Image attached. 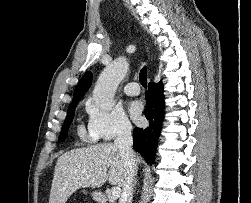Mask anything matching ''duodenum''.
Masks as SVG:
<instances>
[{
	"instance_id": "1",
	"label": "duodenum",
	"mask_w": 251,
	"mask_h": 203,
	"mask_svg": "<svg viewBox=\"0 0 251 203\" xmlns=\"http://www.w3.org/2000/svg\"><path fill=\"white\" fill-rule=\"evenodd\" d=\"M96 198L100 203H105L106 202V198H105V195L103 193H97Z\"/></svg>"
}]
</instances>
